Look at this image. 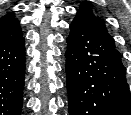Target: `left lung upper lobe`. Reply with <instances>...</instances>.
<instances>
[{
    "mask_svg": "<svg viewBox=\"0 0 131 115\" xmlns=\"http://www.w3.org/2000/svg\"><path fill=\"white\" fill-rule=\"evenodd\" d=\"M87 24L94 27L96 30L103 33L108 39L114 42L113 38L108 34L104 22L97 16L93 14L91 8L86 4L82 3L80 9L77 11V15Z\"/></svg>",
    "mask_w": 131,
    "mask_h": 115,
    "instance_id": "left-lung-upper-lobe-1",
    "label": "left lung upper lobe"
}]
</instances>
